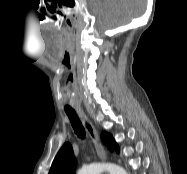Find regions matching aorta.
<instances>
[{
  "label": "aorta",
  "instance_id": "obj_1",
  "mask_svg": "<svg viewBox=\"0 0 187 174\" xmlns=\"http://www.w3.org/2000/svg\"><path fill=\"white\" fill-rule=\"evenodd\" d=\"M108 172L109 174H127L126 170L116 164H102L94 163L83 167L77 174H102Z\"/></svg>",
  "mask_w": 187,
  "mask_h": 174
}]
</instances>
